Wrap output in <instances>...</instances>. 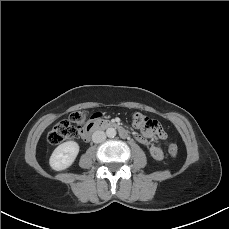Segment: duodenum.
Segmentation results:
<instances>
[{"mask_svg": "<svg viewBox=\"0 0 229 229\" xmlns=\"http://www.w3.org/2000/svg\"><path fill=\"white\" fill-rule=\"evenodd\" d=\"M106 128L117 129L119 131L120 135L124 138H126L128 136L126 129L122 125H120L116 122H113V121H108V120H104V119H97V120L91 122L87 126L84 137L87 140L91 136L92 133H94L100 129H106Z\"/></svg>", "mask_w": 229, "mask_h": 229, "instance_id": "duodenum-1", "label": "duodenum"}]
</instances>
